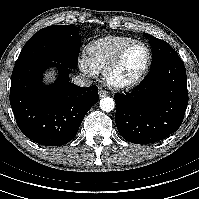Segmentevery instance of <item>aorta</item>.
Masks as SVG:
<instances>
[{
	"label": "aorta",
	"instance_id": "762f6f07",
	"mask_svg": "<svg viewBox=\"0 0 199 199\" xmlns=\"http://www.w3.org/2000/svg\"><path fill=\"white\" fill-rule=\"evenodd\" d=\"M100 108L102 111L110 112L115 108V102L113 98L104 97L100 100Z\"/></svg>",
	"mask_w": 199,
	"mask_h": 199
}]
</instances>
